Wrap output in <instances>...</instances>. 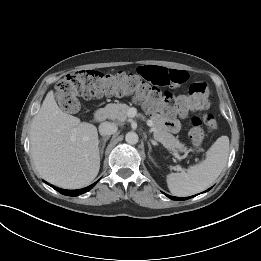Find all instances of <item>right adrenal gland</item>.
Returning a JSON list of instances; mask_svg holds the SVG:
<instances>
[{
	"mask_svg": "<svg viewBox=\"0 0 261 261\" xmlns=\"http://www.w3.org/2000/svg\"><path fill=\"white\" fill-rule=\"evenodd\" d=\"M109 140V136H104L102 139H100L98 141V144H99V151H100V156L102 158L103 156V153H104V148H105V145H106V142ZM102 142V143H101Z\"/></svg>",
	"mask_w": 261,
	"mask_h": 261,
	"instance_id": "1",
	"label": "right adrenal gland"
}]
</instances>
